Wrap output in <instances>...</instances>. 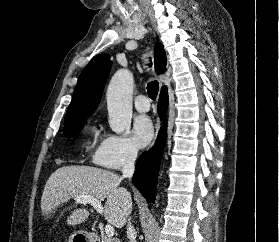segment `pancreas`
Returning a JSON list of instances; mask_svg holds the SVG:
<instances>
[{"label": "pancreas", "mask_w": 279, "mask_h": 242, "mask_svg": "<svg viewBox=\"0 0 279 242\" xmlns=\"http://www.w3.org/2000/svg\"><path fill=\"white\" fill-rule=\"evenodd\" d=\"M102 242H120L117 238H111L108 236H105L102 238Z\"/></svg>", "instance_id": "obj_1"}]
</instances>
